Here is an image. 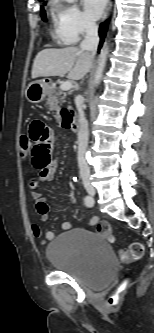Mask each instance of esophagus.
<instances>
[{"label":"esophagus","mask_w":154,"mask_h":333,"mask_svg":"<svg viewBox=\"0 0 154 333\" xmlns=\"http://www.w3.org/2000/svg\"><path fill=\"white\" fill-rule=\"evenodd\" d=\"M111 9H112V1L109 0V1H108V4H107V7H106V9H105V12H104V14H103V17H102V22H104V21L107 20V18H108L109 15H110Z\"/></svg>","instance_id":"obj_1"}]
</instances>
